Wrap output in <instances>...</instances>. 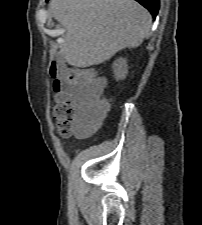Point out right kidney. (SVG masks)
Returning a JSON list of instances; mask_svg holds the SVG:
<instances>
[{"label":"right kidney","instance_id":"ca27d5eb","mask_svg":"<svg viewBox=\"0 0 202 225\" xmlns=\"http://www.w3.org/2000/svg\"><path fill=\"white\" fill-rule=\"evenodd\" d=\"M113 72L117 80L124 79L127 75V62L125 59H118L113 63Z\"/></svg>","mask_w":202,"mask_h":225}]
</instances>
